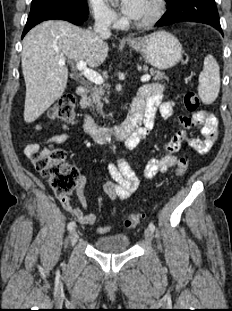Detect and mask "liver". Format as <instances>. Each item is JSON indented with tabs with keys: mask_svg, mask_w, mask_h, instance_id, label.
<instances>
[{
	"mask_svg": "<svg viewBox=\"0 0 232 311\" xmlns=\"http://www.w3.org/2000/svg\"><path fill=\"white\" fill-rule=\"evenodd\" d=\"M108 37L66 21L43 22L29 31L22 49L26 123L35 121L65 91L68 69L59 60L85 61L91 68L98 67L107 58Z\"/></svg>",
	"mask_w": 232,
	"mask_h": 311,
	"instance_id": "1",
	"label": "liver"
}]
</instances>
